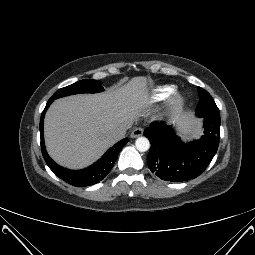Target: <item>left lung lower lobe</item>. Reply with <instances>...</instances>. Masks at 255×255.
<instances>
[{
	"label": "left lung lower lobe",
	"instance_id": "left-lung-lower-lobe-1",
	"mask_svg": "<svg viewBox=\"0 0 255 255\" xmlns=\"http://www.w3.org/2000/svg\"><path fill=\"white\" fill-rule=\"evenodd\" d=\"M204 118V135L183 143L170 125L152 124L144 135L150 140V170L165 181L180 182L199 176L213 159L220 139V115Z\"/></svg>",
	"mask_w": 255,
	"mask_h": 255
}]
</instances>
